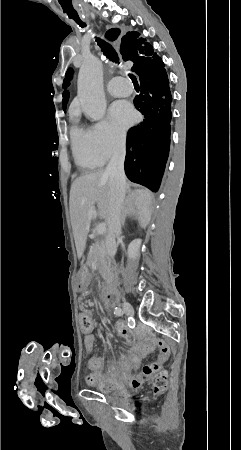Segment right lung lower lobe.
Returning a JSON list of instances; mask_svg holds the SVG:
<instances>
[{
  "label": "right lung lower lobe",
  "instance_id": "1",
  "mask_svg": "<svg viewBox=\"0 0 241 450\" xmlns=\"http://www.w3.org/2000/svg\"><path fill=\"white\" fill-rule=\"evenodd\" d=\"M136 74L141 92L134 105L145 118L128 131L124 169L129 180L156 192L169 154L172 96L162 60Z\"/></svg>",
  "mask_w": 241,
  "mask_h": 450
}]
</instances>
